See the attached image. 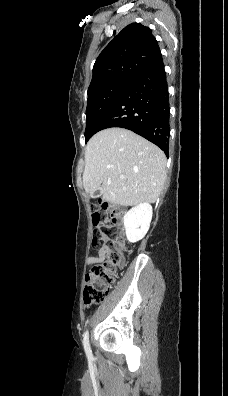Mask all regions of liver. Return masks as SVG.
<instances>
[{
	"instance_id": "6515ba94",
	"label": "liver",
	"mask_w": 228,
	"mask_h": 396,
	"mask_svg": "<svg viewBox=\"0 0 228 396\" xmlns=\"http://www.w3.org/2000/svg\"><path fill=\"white\" fill-rule=\"evenodd\" d=\"M165 179L163 151L130 130H102L86 145L84 189L92 195L99 189L103 199L110 203L122 206L154 203Z\"/></svg>"
}]
</instances>
